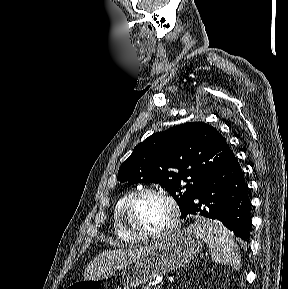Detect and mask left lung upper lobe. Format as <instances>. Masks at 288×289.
Listing matches in <instances>:
<instances>
[{
    "mask_svg": "<svg viewBox=\"0 0 288 289\" xmlns=\"http://www.w3.org/2000/svg\"><path fill=\"white\" fill-rule=\"evenodd\" d=\"M229 149L216 128L203 122L185 123L139 143L120 166L118 180L159 183L175 199L182 214Z\"/></svg>",
    "mask_w": 288,
    "mask_h": 289,
    "instance_id": "1",
    "label": "left lung upper lobe"
}]
</instances>
